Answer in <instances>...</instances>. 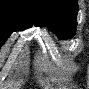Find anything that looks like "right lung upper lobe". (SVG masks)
I'll list each match as a JSON object with an SVG mask.
<instances>
[{
	"label": "right lung upper lobe",
	"instance_id": "obj_1",
	"mask_svg": "<svg viewBox=\"0 0 89 89\" xmlns=\"http://www.w3.org/2000/svg\"><path fill=\"white\" fill-rule=\"evenodd\" d=\"M0 24L26 29L33 24L32 0H0Z\"/></svg>",
	"mask_w": 89,
	"mask_h": 89
}]
</instances>
